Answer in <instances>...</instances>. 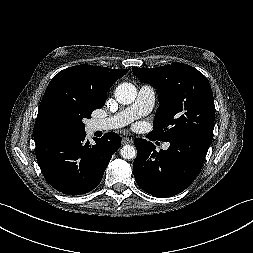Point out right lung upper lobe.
I'll return each mask as SVG.
<instances>
[{"label": "right lung upper lobe", "mask_w": 253, "mask_h": 253, "mask_svg": "<svg viewBox=\"0 0 253 253\" xmlns=\"http://www.w3.org/2000/svg\"><path fill=\"white\" fill-rule=\"evenodd\" d=\"M128 72L127 69H110L92 65H76L60 71L49 83L44 99L52 91L67 93H87L92 97L105 100L107 91L119 78ZM41 137L34 127L35 140Z\"/></svg>", "instance_id": "right-lung-upper-lobe-1"}]
</instances>
